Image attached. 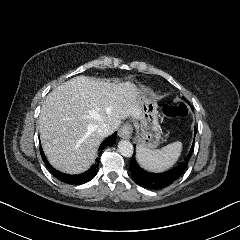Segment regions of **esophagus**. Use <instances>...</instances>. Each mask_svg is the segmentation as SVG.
<instances>
[{"mask_svg": "<svg viewBox=\"0 0 240 240\" xmlns=\"http://www.w3.org/2000/svg\"><path fill=\"white\" fill-rule=\"evenodd\" d=\"M133 132V126L129 123H125L118 131L119 137L122 139H129Z\"/></svg>", "mask_w": 240, "mask_h": 240, "instance_id": "1", "label": "esophagus"}]
</instances>
